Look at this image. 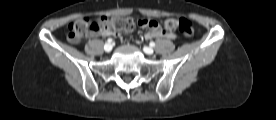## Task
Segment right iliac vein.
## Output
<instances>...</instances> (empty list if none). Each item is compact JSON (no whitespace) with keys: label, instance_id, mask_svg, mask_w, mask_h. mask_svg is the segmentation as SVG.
I'll use <instances>...</instances> for the list:
<instances>
[{"label":"right iliac vein","instance_id":"63e3f726","mask_svg":"<svg viewBox=\"0 0 276 120\" xmlns=\"http://www.w3.org/2000/svg\"><path fill=\"white\" fill-rule=\"evenodd\" d=\"M112 48H113V46H112V44H110V43H106V44L104 45V50H105L106 52H110V51L112 50Z\"/></svg>","mask_w":276,"mask_h":120}]
</instances>
